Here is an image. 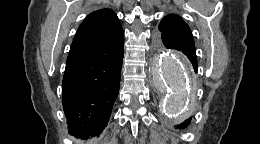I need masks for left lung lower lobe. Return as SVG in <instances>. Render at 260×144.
Masks as SVG:
<instances>
[{"instance_id":"left-lung-lower-lobe-1","label":"left lung lower lobe","mask_w":260,"mask_h":144,"mask_svg":"<svg viewBox=\"0 0 260 144\" xmlns=\"http://www.w3.org/2000/svg\"><path fill=\"white\" fill-rule=\"evenodd\" d=\"M159 40H161L160 36H159ZM162 41L166 48L182 51L192 63L195 72H197V57H196L195 43L193 39L163 35ZM190 121L191 118L185 121L182 124V126H180V128L187 127L190 124Z\"/></svg>"}]
</instances>
